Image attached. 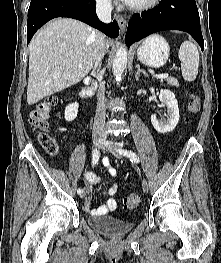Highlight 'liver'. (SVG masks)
Returning a JSON list of instances; mask_svg holds the SVG:
<instances>
[{
	"label": "liver",
	"instance_id": "1",
	"mask_svg": "<svg viewBox=\"0 0 221 263\" xmlns=\"http://www.w3.org/2000/svg\"><path fill=\"white\" fill-rule=\"evenodd\" d=\"M100 33L69 18L52 20L29 44L27 103L41 99L80 82L92 69ZM110 41L105 40V48Z\"/></svg>",
	"mask_w": 221,
	"mask_h": 263
}]
</instances>
